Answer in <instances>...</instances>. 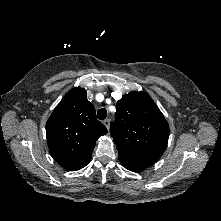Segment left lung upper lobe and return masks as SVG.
<instances>
[{
    "instance_id": "1",
    "label": "left lung upper lobe",
    "mask_w": 221,
    "mask_h": 221,
    "mask_svg": "<svg viewBox=\"0 0 221 221\" xmlns=\"http://www.w3.org/2000/svg\"><path fill=\"white\" fill-rule=\"evenodd\" d=\"M110 133L119 161L143 170L155 164L165 151L169 126L149 95L131 92L117 102Z\"/></svg>"
}]
</instances>
